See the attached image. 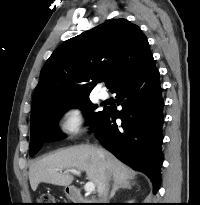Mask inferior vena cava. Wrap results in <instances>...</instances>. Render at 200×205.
Segmentation results:
<instances>
[{"label":"inferior vena cava","instance_id":"602c4592","mask_svg":"<svg viewBox=\"0 0 200 205\" xmlns=\"http://www.w3.org/2000/svg\"><path fill=\"white\" fill-rule=\"evenodd\" d=\"M109 177L107 181H103L102 185L100 186L98 193L99 197L103 201V203H108V193H109Z\"/></svg>","mask_w":200,"mask_h":205}]
</instances>
